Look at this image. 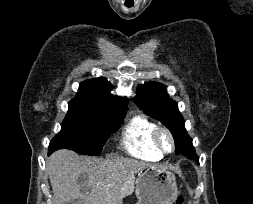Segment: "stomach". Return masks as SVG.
Here are the masks:
<instances>
[{"label": "stomach", "instance_id": "1", "mask_svg": "<svg viewBox=\"0 0 253 204\" xmlns=\"http://www.w3.org/2000/svg\"><path fill=\"white\" fill-rule=\"evenodd\" d=\"M136 204H173L178 196L174 173L167 167L149 166L136 180Z\"/></svg>", "mask_w": 253, "mask_h": 204}]
</instances>
